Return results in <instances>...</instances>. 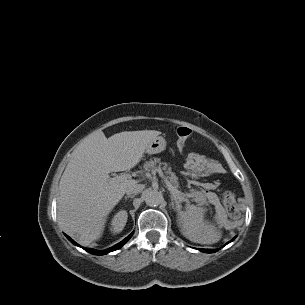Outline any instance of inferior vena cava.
<instances>
[{
  "mask_svg": "<svg viewBox=\"0 0 305 305\" xmlns=\"http://www.w3.org/2000/svg\"><path fill=\"white\" fill-rule=\"evenodd\" d=\"M143 188H144V185H142V184H134V185L130 186L129 188H127L126 194L131 195V194L140 193L143 190Z\"/></svg>",
  "mask_w": 305,
  "mask_h": 305,
  "instance_id": "602c4592",
  "label": "inferior vena cava"
}]
</instances>
